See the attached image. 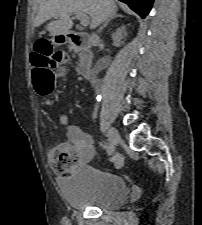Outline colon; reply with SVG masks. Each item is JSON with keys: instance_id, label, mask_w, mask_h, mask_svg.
<instances>
[{"instance_id": "colon-1", "label": "colon", "mask_w": 202, "mask_h": 225, "mask_svg": "<svg viewBox=\"0 0 202 225\" xmlns=\"http://www.w3.org/2000/svg\"><path fill=\"white\" fill-rule=\"evenodd\" d=\"M33 85L41 96H48L54 89L53 69L60 68L67 60L64 51H55L48 41H40L34 46L33 52ZM47 160L50 167L62 177L70 176L77 169V151L72 146L62 147L53 145L48 153ZM111 162L115 168L123 165V157L114 155Z\"/></svg>"}]
</instances>
